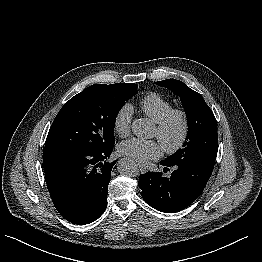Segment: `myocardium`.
Listing matches in <instances>:
<instances>
[{
  "label": "myocardium",
  "mask_w": 262,
  "mask_h": 262,
  "mask_svg": "<svg viewBox=\"0 0 262 262\" xmlns=\"http://www.w3.org/2000/svg\"><path fill=\"white\" fill-rule=\"evenodd\" d=\"M175 121L181 125L180 134L174 143L163 142L162 146L167 154H175L186 144L190 133V120L187 111L183 108H172L159 122L156 128L159 133V140L165 139L170 127Z\"/></svg>",
  "instance_id": "1"
}]
</instances>
